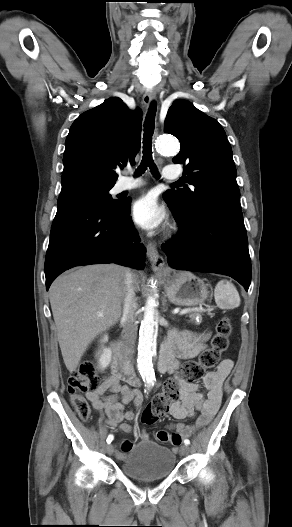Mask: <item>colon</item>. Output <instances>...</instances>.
Masks as SVG:
<instances>
[{
    "mask_svg": "<svg viewBox=\"0 0 292 527\" xmlns=\"http://www.w3.org/2000/svg\"><path fill=\"white\" fill-rule=\"evenodd\" d=\"M231 333L230 319L226 316L222 317L217 322L210 348L200 355L198 361L185 363L180 378L187 383L196 384L208 371L215 369L221 361L222 354L229 346ZM100 385L101 381L96 363L84 362L71 372L68 378V392L72 406L82 420H87L90 417V406L84 394L96 391ZM176 397V383L170 381L165 384L164 390L145 407L142 413V422L147 425L158 422L167 414L171 401L175 400Z\"/></svg>",
    "mask_w": 292,
    "mask_h": 527,
    "instance_id": "colon-1",
    "label": "colon"
}]
</instances>
